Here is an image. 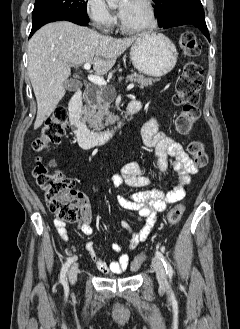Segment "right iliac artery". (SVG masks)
I'll list each match as a JSON object with an SVG mask.
<instances>
[{
    "label": "right iliac artery",
    "mask_w": 240,
    "mask_h": 329,
    "mask_svg": "<svg viewBox=\"0 0 240 329\" xmlns=\"http://www.w3.org/2000/svg\"><path fill=\"white\" fill-rule=\"evenodd\" d=\"M76 260V257L73 256L69 258L65 264L62 266L61 272H60V282L63 284L64 287H67V272L70 267V265Z\"/></svg>",
    "instance_id": "right-iliac-artery-1"
}]
</instances>
